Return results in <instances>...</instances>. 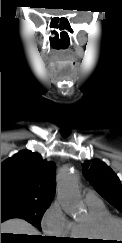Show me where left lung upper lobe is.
Masks as SVG:
<instances>
[{"label":"left lung upper lobe","mask_w":122,"mask_h":243,"mask_svg":"<svg viewBox=\"0 0 122 243\" xmlns=\"http://www.w3.org/2000/svg\"><path fill=\"white\" fill-rule=\"evenodd\" d=\"M82 172L94 189L122 212V186L117 175L98 159L82 164Z\"/></svg>","instance_id":"1"}]
</instances>
